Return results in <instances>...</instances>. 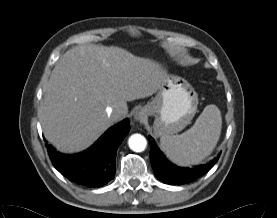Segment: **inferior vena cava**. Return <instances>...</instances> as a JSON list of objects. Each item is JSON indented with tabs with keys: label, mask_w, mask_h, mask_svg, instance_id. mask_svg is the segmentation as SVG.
<instances>
[{
	"label": "inferior vena cava",
	"mask_w": 277,
	"mask_h": 218,
	"mask_svg": "<svg viewBox=\"0 0 277 218\" xmlns=\"http://www.w3.org/2000/svg\"><path fill=\"white\" fill-rule=\"evenodd\" d=\"M105 111H106L108 117H110V118L117 119V118H121L123 116V111L114 112L113 109L110 107H107Z\"/></svg>",
	"instance_id": "inferior-vena-cava-1"
}]
</instances>
